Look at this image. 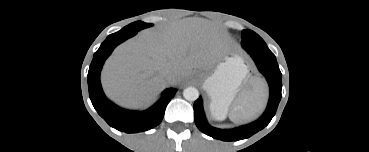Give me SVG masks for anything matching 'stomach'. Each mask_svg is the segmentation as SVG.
I'll use <instances>...</instances> for the list:
<instances>
[{"mask_svg": "<svg viewBox=\"0 0 369 152\" xmlns=\"http://www.w3.org/2000/svg\"><path fill=\"white\" fill-rule=\"evenodd\" d=\"M247 75L248 69L242 59L233 56L226 58L214 73L205 79L203 88L211 98L210 109L216 119L222 120L226 117L228 108Z\"/></svg>", "mask_w": 369, "mask_h": 152, "instance_id": "1", "label": "stomach"}]
</instances>
